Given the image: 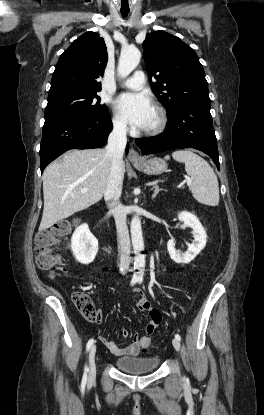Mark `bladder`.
I'll return each mask as SVG.
<instances>
[{
    "instance_id": "31cf9c89",
    "label": "bladder",
    "mask_w": 264,
    "mask_h": 415,
    "mask_svg": "<svg viewBox=\"0 0 264 415\" xmlns=\"http://www.w3.org/2000/svg\"><path fill=\"white\" fill-rule=\"evenodd\" d=\"M159 364L160 359L158 357H121L115 360V365L118 368L132 374L154 371Z\"/></svg>"
}]
</instances>
